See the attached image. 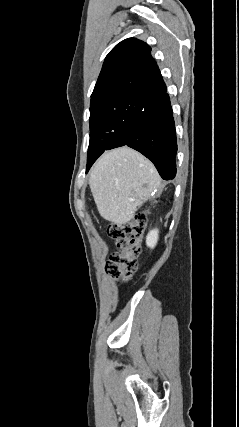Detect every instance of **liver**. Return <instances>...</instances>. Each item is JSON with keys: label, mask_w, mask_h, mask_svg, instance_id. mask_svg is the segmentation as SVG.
<instances>
[{"label": "liver", "mask_w": 239, "mask_h": 427, "mask_svg": "<svg viewBox=\"0 0 239 427\" xmlns=\"http://www.w3.org/2000/svg\"><path fill=\"white\" fill-rule=\"evenodd\" d=\"M89 185L101 217L115 224L129 222L137 207L153 192L162 191L161 178L153 164L127 146L98 159Z\"/></svg>", "instance_id": "liver-1"}]
</instances>
